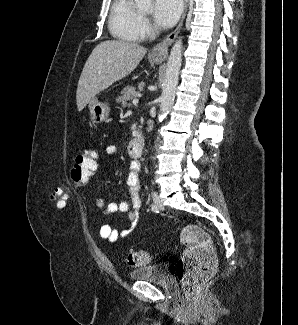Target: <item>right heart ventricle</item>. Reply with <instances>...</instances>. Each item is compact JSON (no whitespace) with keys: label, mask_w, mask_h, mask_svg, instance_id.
<instances>
[{"label":"right heart ventricle","mask_w":298,"mask_h":325,"mask_svg":"<svg viewBox=\"0 0 298 325\" xmlns=\"http://www.w3.org/2000/svg\"><path fill=\"white\" fill-rule=\"evenodd\" d=\"M141 18L135 10L132 0H118L112 5L108 28L111 37H120V41H140L137 33L141 28Z\"/></svg>","instance_id":"obj_1"}]
</instances>
